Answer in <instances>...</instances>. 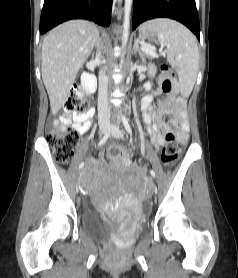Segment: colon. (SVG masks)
Returning a JSON list of instances; mask_svg holds the SVG:
<instances>
[{
  "mask_svg": "<svg viewBox=\"0 0 238 278\" xmlns=\"http://www.w3.org/2000/svg\"><path fill=\"white\" fill-rule=\"evenodd\" d=\"M161 87L165 94H170L174 87V73L166 65L161 66ZM63 109L66 113L83 114L91 110L90 101L85 96L80 85H75L69 92ZM78 131L74 127H53L47 132V140L52 147L56 161L62 164L68 163L74 155V149L78 142ZM182 154V147L172 132L166 135V144L161 153V161L165 165L172 164ZM108 157L116 163H121L126 154L119 146H112L108 150Z\"/></svg>",
  "mask_w": 238,
  "mask_h": 278,
  "instance_id": "1",
  "label": "colon"
}]
</instances>
